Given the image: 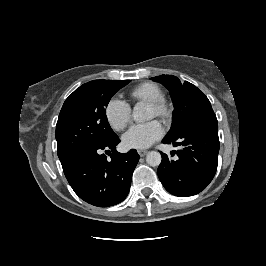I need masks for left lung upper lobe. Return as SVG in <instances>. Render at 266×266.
Listing matches in <instances>:
<instances>
[{
	"mask_svg": "<svg viewBox=\"0 0 266 266\" xmlns=\"http://www.w3.org/2000/svg\"><path fill=\"white\" fill-rule=\"evenodd\" d=\"M151 79L160 82L170 91L174 103L171 129L165 138H174L189 126L214 114L208 98L190 82L181 83L173 75H161Z\"/></svg>",
	"mask_w": 266,
	"mask_h": 266,
	"instance_id": "5c2ea615",
	"label": "left lung upper lobe"
}]
</instances>
